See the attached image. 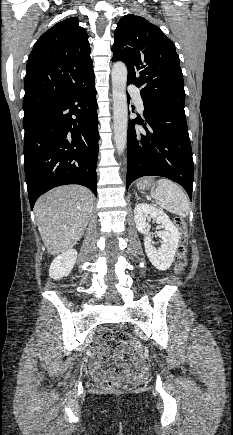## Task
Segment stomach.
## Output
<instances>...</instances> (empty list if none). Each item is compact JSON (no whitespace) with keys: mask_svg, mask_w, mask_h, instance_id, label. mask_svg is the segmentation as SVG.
Here are the masks:
<instances>
[{"mask_svg":"<svg viewBox=\"0 0 233 435\" xmlns=\"http://www.w3.org/2000/svg\"><path fill=\"white\" fill-rule=\"evenodd\" d=\"M137 187L141 190L151 189L153 191L155 188V184L152 179H145L138 182Z\"/></svg>","mask_w":233,"mask_h":435,"instance_id":"1","label":"stomach"}]
</instances>
